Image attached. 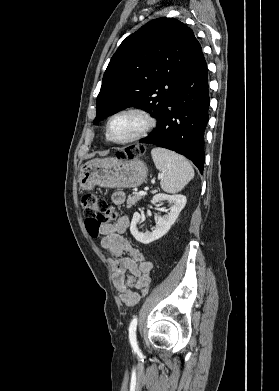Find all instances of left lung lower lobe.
<instances>
[{"label": "left lung lower lobe", "mask_w": 279, "mask_h": 391, "mask_svg": "<svg viewBox=\"0 0 279 391\" xmlns=\"http://www.w3.org/2000/svg\"><path fill=\"white\" fill-rule=\"evenodd\" d=\"M209 103L208 71L202 53L192 71L166 102L156 128L141 142L184 155L202 173Z\"/></svg>", "instance_id": "0a47b994"}]
</instances>
